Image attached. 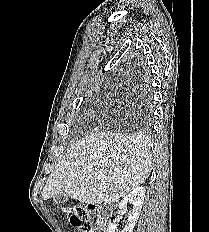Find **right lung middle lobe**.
<instances>
[{"label":"right lung middle lobe","mask_w":209,"mask_h":232,"mask_svg":"<svg viewBox=\"0 0 209 232\" xmlns=\"http://www.w3.org/2000/svg\"><path fill=\"white\" fill-rule=\"evenodd\" d=\"M144 96L139 103V113L136 115L135 121L140 127L148 130L151 127V94L147 88L144 89Z\"/></svg>","instance_id":"1"}]
</instances>
